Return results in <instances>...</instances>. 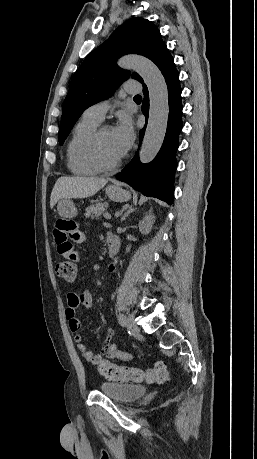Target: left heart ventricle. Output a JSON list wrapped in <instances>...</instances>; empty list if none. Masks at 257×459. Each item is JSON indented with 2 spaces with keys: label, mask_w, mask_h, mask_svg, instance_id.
Here are the masks:
<instances>
[{
  "label": "left heart ventricle",
  "mask_w": 257,
  "mask_h": 459,
  "mask_svg": "<svg viewBox=\"0 0 257 459\" xmlns=\"http://www.w3.org/2000/svg\"><path fill=\"white\" fill-rule=\"evenodd\" d=\"M99 149L101 156L107 162L115 161L121 157L113 137L112 129H107L102 133L99 142Z\"/></svg>",
  "instance_id": "b2bd125f"
}]
</instances>
